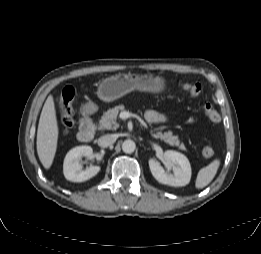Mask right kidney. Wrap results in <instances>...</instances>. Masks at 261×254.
I'll return each mask as SVG.
<instances>
[{
  "label": "right kidney",
  "mask_w": 261,
  "mask_h": 254,
  "mask_svg": "<svg viewBox=\"0 0 261 254\" xmlns=\"http://www.w3.org/2000/svg\"><path fill=\"white\" fill-rule=\"evenodd\" d=\"M92 153L93 149L90 146H77L71 149L63 163L65 178L72 182H83L95 176L100 171L99 166H90L83 170L81 164L82 158L90 157Z\"/></svg>",
  "instance_id": "right-kidney-1"
}]
</instances>
